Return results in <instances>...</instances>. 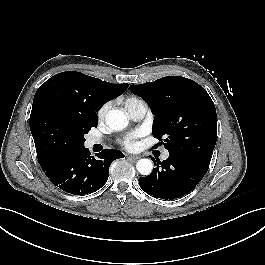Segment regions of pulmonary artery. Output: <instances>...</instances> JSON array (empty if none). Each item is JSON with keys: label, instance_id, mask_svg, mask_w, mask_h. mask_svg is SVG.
Returning <instances> with one entry per match:
<instances>
[{"label": "pulmonary artery", "instance_id": "pulmonary-artery-1", "mask_svg": "<svg viewBox=\"0 0 265 265\" xmlns=\"http://www.w3.org/2000/svg\"><path fill=\"white\" fill-rule=\"evenodd\" d=\"M146 112H147V105L145 103L139 104L129 111L131 118L135 121L141 120L145 116ZM100 142H101V139L91 137L88 139L87 145L93 146V145L98 144ZM168 156H169V152L165 151L162 154V159L165 160L168 158Z\"/></svg>", "mask_w": 265, "mask_h": 265}]
</instances>
